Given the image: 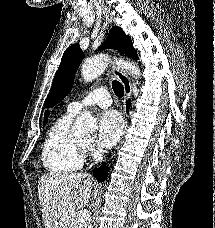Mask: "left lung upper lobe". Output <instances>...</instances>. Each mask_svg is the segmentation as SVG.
<instances>
[{"instance_id": "left-lung-upper-lobe-1", "label": "left lung upper lobe", "mask_w": 215, "mask_h": 228, "mask_svg": "<svg viewBox=\"0 0 215 228\" xmlns=\"http://www.w3.org/2000/svg\"><path fill=\"white\" fill-rule=\"evenodd\" d=\"M113 48L127 56L138 59L132 41L119 27H113L99 50ZM84 58L79 44H73L64 52L61 64L54 76L46 106L60 102L72 89L75 72Z\"/></svg>"}]
</instances>
